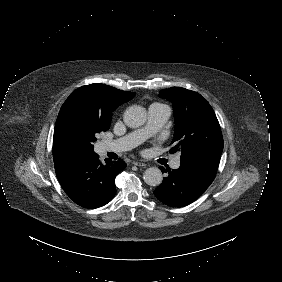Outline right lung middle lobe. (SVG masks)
<instances>
[{
    "label": "right lung middle lobe",
    "mask_w": 282,
    "mask_h": 282,
    "mask_svg": "<svg viewBox=\"0 0 282 282\" xmlns=\"http://www.w3.org/2000/svg\"><path fill=\"white\" fill-rule=\"evenodd\" d=\"M109 127L110 121H104L93 110L84 108L64 121L59 138L74 157L92 155L95 154L93 143L97 134Z\"/></svg>",
    "instance_id": "1"
}]
</instances>
